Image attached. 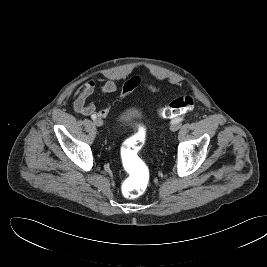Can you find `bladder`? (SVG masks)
I'll return each instance as SVG.
<instances>
[{
	"instance_id": "1",
	"label": "bladder",
	"mask_w": 267,
	"mask_h": 267,
	"mask_svg": "<svg viewBox=\"0 0 267 267\" xmlns=\"http://www.w3.org/2000/svg\"><path fill=\"white\" fill-rule=\"evenodd\" d=\"M121 127L133 126L138 121H144L142 111L134 106L124 108L118 115Z\"/></svg>"
}]
</instances>
